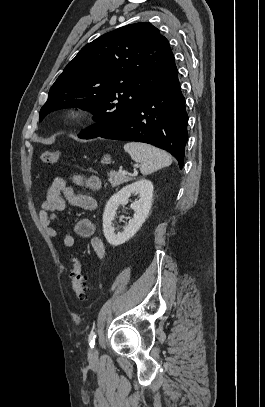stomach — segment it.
I'll list each match as a JSON object with an SVG mask.
<instances>
[{
    "label": "stomach",
    "instance_id": "1",
    "mask_svg": "<svg viewBox=\"0 0 265 407\" xmlns=\"http://www.w3.org/2000/svg\"><path fill=\"white\" fill-rule=\"evenodd\" d=\"M110 160H111V157H110V155H105L104 157H103V159H102V163H109L110 162Z\"/></svg>",
    "mask_w": 265,
    "mask_h": 407
}]
</instances>
